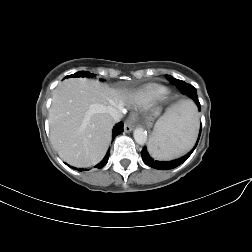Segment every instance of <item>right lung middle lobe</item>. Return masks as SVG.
Returning <instances> with one entry per match:
<instances>
[{"label":"right lung middle lobe","mask_w":252,"mask_h":252,"mask_svg":"<svg viewBox=\"0 0 252 252\" xmlns=\"http://www.w3.org/2000/svg\"><path fill=\"white\" fill-rule=\"evenodd\" d=\"M95 76V74H92L90 72H87V71H80V72H77L75 74H72V75H68L66 76L65 78H75V77H87V78H93Z\"/></svg>","instance_id":"1"}]
</instances>
